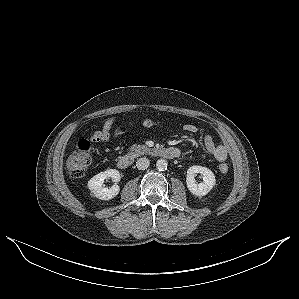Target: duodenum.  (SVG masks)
Returning a JSON list of instances; mask_svg holds the SVG:
<instances>
[{
	"mask_svg": "<svg viewBox=\"0 0 299 299\" xmlns=\"http://www.w3.org/2000/svg\"><path fill=\"white\" fill-rule=\"evenodd\" d=\"M160 155L167 158V159H175L179 157L180 150L174 147H167L160 150ZM134 158L132 155H123L121 156L118 161L117 165L121 169H127L133 164Z\"/></svg>",
	"mask_w": 299,
	"mask_h": 299,
	"instance_id": "410a0bca",
	"label": "duodenum"
}]
</instances>
